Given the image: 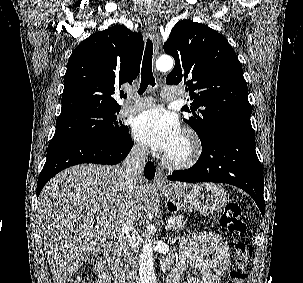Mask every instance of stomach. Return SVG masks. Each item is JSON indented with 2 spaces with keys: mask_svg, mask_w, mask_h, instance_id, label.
<instances>
[{
  "mask_svg": "<svg viewBox=\"0 0 303 283\" xmlns=\"http://www.w3.org/2000/svg\"><path fill=\"white\" fill-rule=\"evenodd\" d=\"M160 192L166 197V207L169 210H179L186 206L191 211L212 215L227 204L225 190L215 184L186 186L180 190L163 187Z\"/></svg>",
  "mask_w": 303,
  "mask_h": 283,
  "instance_id": "1",
  "label": "stomach"
}]
</instances>
